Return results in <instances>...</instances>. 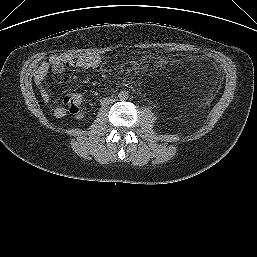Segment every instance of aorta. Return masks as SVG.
<instances>
[{"label": "aorta", "instance_id": "aorta-1", "mask_svg": "<svg viewBox=\"0 0 257 257\" xmlns=\"http://www.w3.org/2000/svg\"><path fill=\"white\" fill-rule=\"evenodd\" d=\"M118 97L120 100H127L129 97V93L128 91H121L119 92Z\"/></svg>", "mask_w": 257, "mask_h": 257}]
</instances>
